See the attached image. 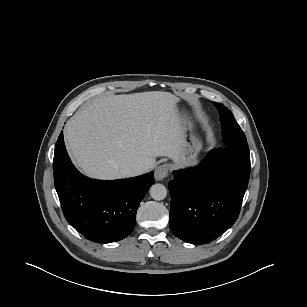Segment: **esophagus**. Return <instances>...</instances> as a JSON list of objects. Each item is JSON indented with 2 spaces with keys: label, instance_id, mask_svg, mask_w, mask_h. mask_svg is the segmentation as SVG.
Returning <instances> with one entry per match:
<instances>
[{
  "label": "esophagus",
  "instance_id": "34e87169",
  "mask_svg": "<svg viewBox=\"0 0 307 307\" xmlns=\"http://www.w3.org/2000/svg\"><path fill=\"white\" fill-rule=\"evenodd\" d=\"M169 166L168 164H162L158 166L154 172L155 180L160 181L168 176Z\"/></svg>",
  "mask_w": 307,
  "mask_h": 307
}]
</instances>
